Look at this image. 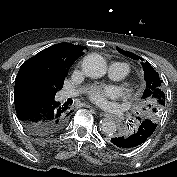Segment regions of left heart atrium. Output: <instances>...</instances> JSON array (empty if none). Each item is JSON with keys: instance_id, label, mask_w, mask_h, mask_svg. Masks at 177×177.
Listing matches in <instances>:
<instances>
[{"instance_id": "left-heart-atrium-1", "label": "left heart atrium", "mask_w": 177, "mask_h": 177, "mask_svg": "<svg viewBox=\"0 0 177 177\" xmlns=\"http://www.w3.org/2000/svg\"><path fill=\"white\" fill-rule=\"evenodd\" d=\"M115 96L116 91L111 87L97 88L89 94L91 101L100 106H106L108 99L114 98Z\"/></svg>"}]
</instances>
